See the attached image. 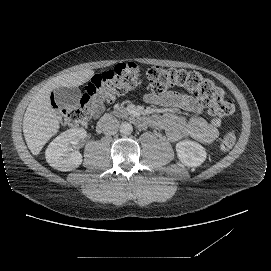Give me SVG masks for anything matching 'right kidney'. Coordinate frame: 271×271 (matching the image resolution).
Masks as SVG:
<instances>
[{
    "mask_svg": "<svg viewBox=\"0 0 271 271\" xmlns=\"http://www.w3.org/2000/svg\"><path fill=\"white\" fill-rule=\"evenodd\" d=\"M83 128L69 129L57 136L47 147L45 155L50 166L60 171H72L82 163V155L71 145L86 138Z\"/></svg>",
    "mask_w": 271,
    "mask_h": 271,
    "instance_id": "ca27d5eb",
    "label": "right kidney"
}]
</instances>
